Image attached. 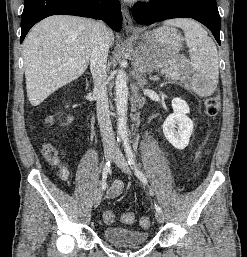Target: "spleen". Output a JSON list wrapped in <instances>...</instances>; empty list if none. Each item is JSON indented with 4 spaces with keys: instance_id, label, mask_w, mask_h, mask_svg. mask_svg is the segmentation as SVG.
<instances>
[{
    "instance_id": "obj_1",
    "label": "spleen",
    "mask_w": 247,
    "mask_h": 257,
    "mask_svg": "<svg viewBox=\"0 0 247 257\" xmlns=\"http://www.w3.org/2000/svg\"><path fill=\"white\" fill-rule=\"evenodd\" d=\"M164 24L179 27L185 33L194 76V90L204 97L213 94L219 77L218 53L213 40L199 23L191 19H172Z\"/></svg>"
}]
</instances>
